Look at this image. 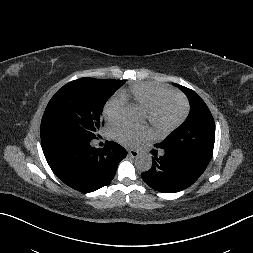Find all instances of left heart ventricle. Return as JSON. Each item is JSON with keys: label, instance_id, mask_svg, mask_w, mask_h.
I'll use <instances>...</instances> for the list:
<instances>
[{"label": "left heart ventricle", "instance_id": "obj_1", "mask_svg": "<svg viewBox=\"0 0 253 253\" xmlns=\"http://www.w3.org/2000/svg\"><path fill=\"white\" fill-rule=\"evenodd\" d=\"M180 112V107L174 100H167L161 106L158 112V120L163 123L167 124L172 122Z\"/></svg>", "mask_w": 253, "mask_h": 253}]
</instances>
